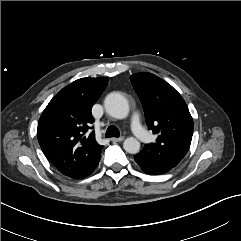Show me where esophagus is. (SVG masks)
<instances>
[{
  "instance_id": "34e87169",
  "label": "esophagus",
  "mask_w": 241,
  "mask_h": 241,
  "mask_svg": "<svg viewBox=\"0 0 241 241\" xmlns=\"http://www.w3.org/2000/svg\"><path fill=\"white\" fill-rule=\"evenodd\" d=\"M123 140H124V137L111 138V141H113V142H121Z\"/></svg>"
}]
</instances>
